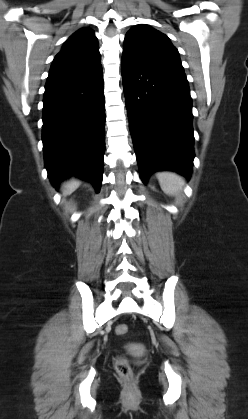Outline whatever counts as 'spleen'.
Listing matches in <instances>:
<instances>
[{"label":"spleen","mask_w":248,"mask_h":419,"mask_svg":"<svg viewBox=\"0 0 248 419\" xmlns=\"http://www.w3.org/2000/svg\"><path fill=\"white\" fill-rule=\"evenodd\" d=\"M161 189L168 195H176L182 190L184 180L181 176L172 172H161L158 174Z\"/></svg>","instance_id":"obj_1"}]
</instances>
